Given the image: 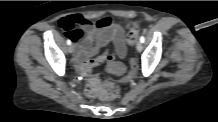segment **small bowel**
Returning <instances> with one entry per match:
<instances>
[{
	"mask_svg": "<svg viewBox=\"0 0 218 122\" xmlns=\"http://www.w3.org/2000/svg\"><path fill=\"white\" fill-rule=\"evenodd\" d=\"M64 22L72 26V31H78L80 35L75 37L69 35L76 43V62L74 63V72L77 74V68L85 63L91 57L113 43L115 52L119 58L126 56V42L124 29L116 24L114 17L98 18L96 23L84 18L81 15L68 16L60 21L61 26ZM116 60V59H115Z\"/></svg>",
	"mask_w": 218,
	"mask_h": 122,
	"instance_id": "1",
	"label": "small bowel"
}]
</instances>
